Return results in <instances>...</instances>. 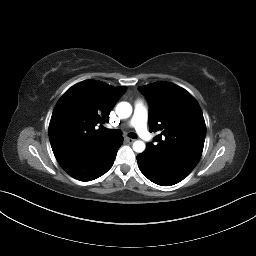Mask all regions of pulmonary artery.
<instances>
[{"label":"pulmonary artery","mask_w":256,"mask_h":256,"mask_svg":"<svg viewBox=\"0 0 256 256\" xmlns=\"http://www.w3.org/2000/svg\"><path fill=\"white\" fill-rule=\"evenodd\" d=\"M147 119H148V108L147 106L138 101L135 104L134 113L128 123L130 127L135 128L136 132L141 138L146 141H152V136L147 129Z\"/></svg>","instance_id":"pulmonary-artery-1"}]
</instances>
